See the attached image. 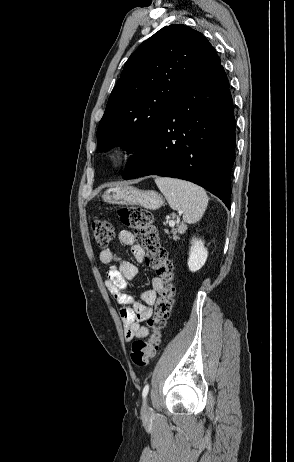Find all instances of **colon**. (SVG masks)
Instances as JSON below:
<instances>
[{"mask_svg":"<svg viewBox=\"0 0 294 462\" xmlns=\"http://www.w3.org/2000/svg\"><path fill=\"white\" fill-rule=\"evenodd\" d=\"M121 222L133 230L135 240L144 253L148 266L164 281L160 296L155 304L154 313L148 320L151 331L148 339L136 340L131 346V360L137 367L147 366L156 355L164 329L173 306L175 287L173 284V266L165 248L161 245L152 214L141 207L129 206L118 211ZM90 229L97 246L106 247L114 235L112 224L104 218L93 217Z\"/></svg>","mask_w":294,"mask_h":462,"instance_id":"1","label":"colon"}]
</instances>
